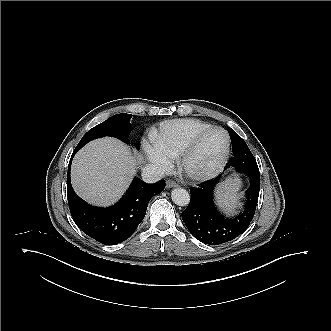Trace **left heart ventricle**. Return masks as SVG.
<instances>
[{
  "label": "left heart ventricle",
  "mask_w": 331,
  "mask_h": 331,
  "mask_svg": "<svg viewBox=\"0 0 331 331\" xmlns=\"http://www.w3.org/2000/svg\"><path fill=\"white\" fill-rule=\"evenodd\" d=\"M225 146L221 132L215 131L205 136L193 155L188 159L187 169L190 172H204L220 160Z\"/></svg>",
  "instance_id": "left-heart-ventricle-1"
}]
</instances>
